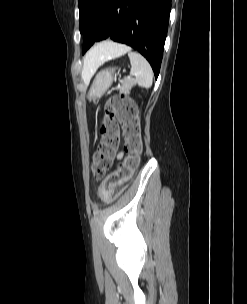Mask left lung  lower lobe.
<instances>
[{
	"instance_id": "1",
	"label": "left lung lower lobe",
	"mask_w": 247,
	"mask_h": 304,
	"mask_svg": "<svg viewBox=\"0 0 247 304\" xmlns=\"http://www.w3.org/2000/svg\"><path fill=\"white\" fill-rule=\"evenodd\" d=\"M171 0H106L98 19L83 34V54L94 42L111 38L138 50L158 77Z\"/></svg>"
}]
</instances>
